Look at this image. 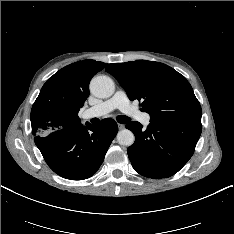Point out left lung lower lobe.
Wrapping results in <instances>:
<instances>
[{"label": "left lung lower lobe", "instance_id": "0a47b994", "mask_svg": "<svg viewBox=\"0 0 234 234\" xmlns=\"http://www.w3.org/2000/svg\"><path fill=\"white\" fill-rule=\"evenodd\" d=\"M135 135L128 156L139 174L154 179L166 178L178 172L191 158L199 140L200 120L150 122L142 130L139 122L126 125Z\"/></svg>", "mask_w": 234, "mask_h": 234}]
</instances>
